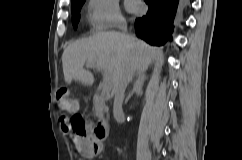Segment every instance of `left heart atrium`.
Listing matches in <instances>:
<instances>
[{"label": "left heart atrium", "instance_id": "39dd6f15", "mask_svg": "<svg viewBox=\"0 0 242 160\" xmlns=\"http://www.w3.org/2000/svg\"><path fill=\"white\" fill-rule=\"evenodd\" d=\"M126 4L130 11L137 12L140 10V4L136 0H127Z\"/></svg>", "mask_w": 242, "mask_h": 160}]
</instances>
